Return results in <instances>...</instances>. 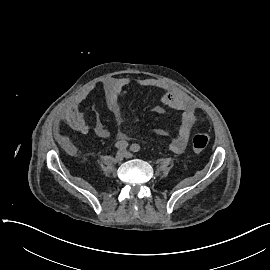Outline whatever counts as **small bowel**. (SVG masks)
Returning <instances> with one entry per match:
<instances>
[{
  "label": "small bowel",
  "instance_id": "1",
  "mask_svg": "<svg viewBox=\"0 0 270 270\" xmlns=\"http://www.w3.org/2000/svg\"><path fill=\"white\" fill-rule=\"evenodd\" d=\"M129 84L130 79L126 77L109 79L103 84L106 106L114 115L118 126L123 124L126 117L124 111L120 107L119 96L123 89ZM140 85L158 90V97L165 106L182 112L180 127L173 135L170 143V150L172 152L176 154L182 153L186 148L190 134L196 123V111L190 98L180 89L171 87L155 79L142 80ZM87 94L88 91H82L64 113L65 123L71 129L81 134H87L91 128L84 114L80 110V103L85 99ZM153 112L162 114L164 108L162 106H155ZM93 131L99 138L107 139L110 137L109 130L101 121L94 122ZM117 137L123 140L126 139L128 135L123 130H120Z\"/></svg>",
  "mask_w": 270,
  "mask_h": 270
}]
</instances>
